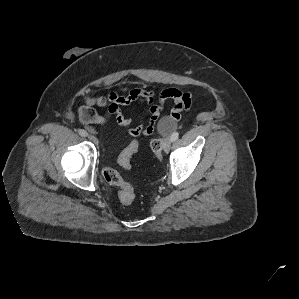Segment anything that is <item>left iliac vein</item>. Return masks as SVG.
Instances as JSON below:
<instances>
[{"mask_svg":"<svg viewBox=\"0 0 299 299\" xmlns=\"http://www.w3.org/2000/svg\"><path fill=\"white\" fill-rule=\"evenodd\" d=\"M171 142H172V140L169 137L164 140L163 149L165 152H169V150L171 148Z\"/></svg>","mask_w":299,"mask_h":299,"instance_id":"obj_1","label":"left iliac vein"}]
</instances>
